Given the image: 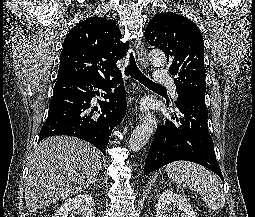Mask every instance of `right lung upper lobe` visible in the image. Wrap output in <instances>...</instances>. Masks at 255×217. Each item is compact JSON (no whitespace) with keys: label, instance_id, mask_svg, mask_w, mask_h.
<instances>
[{"label":"right lung upper lobe","instance_id":"cb5924a9","mask_svg":"<svg viewBox=\"0 0 255 217\" xmlns=\"http://www.w3.org/2000/svg\"><path fill=\"white\" fill-rule=\"evenodd\" d=\"M121 32L111 20L90 17L66 36L57 81L105 80L120 75L116 62L128 51Z\"/></svg>","mask_w":255,"mask_h":217}]
</instances>
